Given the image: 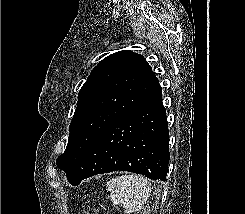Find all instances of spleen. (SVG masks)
<instances>
[{"instance_id": "spleen-1", "label": "spleen", "mask_w": 245, "mask_h": 214, "mask_svg": "<svg viewBox=\"0 0 245 214\" xmlns=\"http://www.w3.org/2000/svg\"><path fill=\"white\" fill-rule=\"evenodd\" d=\"M114 205L123 204L125 213L136 214L144 208L151 193V183L140 175H121L107 182Z\"/></svg>"}]
</instances>
